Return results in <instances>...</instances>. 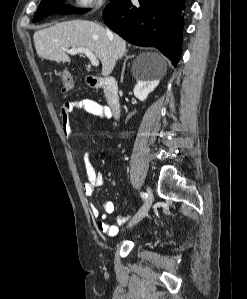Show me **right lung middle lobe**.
Listing matches in <instances>:
<instances>
[{
    "instance_id": "dd1d6c3e",
    "label": "right lung middle lobe",
    "mask_w": 247,
    "mask_h": 299,
    "mask_svg": "<svg viewBox=\"0 0 247 299\" xmlns=\"http://www.w3.org/2000/svg\"><path fill=\"white\" fill-rule=\"evenodd\" d=\"M64 0H41V3L37 9L36 14L34 15L33 22L41 20L47 17L50 14L61 13H85L88 9H75L73 7L63 4ZM115 0H110L114 2Z\"/></svg>"
}]
</instances>
